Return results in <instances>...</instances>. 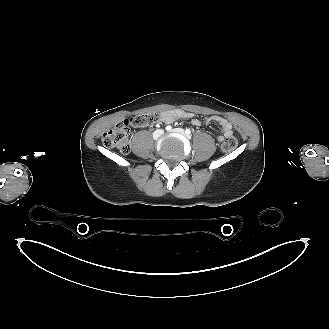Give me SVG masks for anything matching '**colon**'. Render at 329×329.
I'll use <instances>...</instances> for the list:
<instances>
[{
  "instance_id": "colon-1",
  "label": "colon",
  "mask_w": 329,
  "mask_h": 329,
  "mask_svg": "<svg viewBox=\"0 0 329 329\" xmlns=\"http://www.w3.org/2000/svg\"><path fill=\"white\" fill-rule=\"evenodd\" d=\"M160 121V115L157 113H145L133 118L125 119L117 123L111 129L102 134V142L109 148H115L122 153L129 152V132L131 128H144ZM238 144L234 135L226 137L222 142V149L225 152L233 151Z\"/></svg>"
}]
</instances>
